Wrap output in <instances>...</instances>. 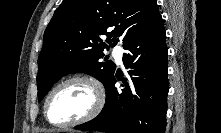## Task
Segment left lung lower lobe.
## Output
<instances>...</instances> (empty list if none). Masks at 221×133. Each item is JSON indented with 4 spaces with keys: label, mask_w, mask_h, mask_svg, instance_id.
Returning a JSON list of instances; mask_svg holds the SVG:
<instances>
[{
    "label": "left lung lower lobe",
    "mask_w": 221,
    "mask_h": 133,
    "mask_svg": "<svg viewBox=\"0 0 221 133\" xmlns=\"http://www.w3.org/2000/svg\"><path fill=\"white\" fill-rule=\"evenodd\" d=\"M123 61L129 77L115 88L117 74L107 85L106 103L93 120L75 126L84 131L106 133H164L166 127L167 78L166 32L160 16L150 27L129 40Z\"/></svg>",
    "instance_id": "left-lung-lower-lobe-1"
}]
</instances>
